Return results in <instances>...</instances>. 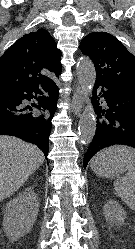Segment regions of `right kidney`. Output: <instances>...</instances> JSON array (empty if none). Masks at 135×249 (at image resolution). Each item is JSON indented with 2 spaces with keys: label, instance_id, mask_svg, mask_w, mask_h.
<instances>
[{
  "label": "right kidney",
  "instance_id": "1",
  "mask_svg": "<svg viewBox=\"0 0 135 249\" xmlns=\"http://www.w3.org/2000/svg\"><path fill=\"white\" fill-rule=\"evenodd\" d=\"M39 211V200L32 189H26L4 208L3 229L10 241H16L33 227Z\"/></svg>",
  "mask_w": 135,
  "mask_h": 249
}]
</instances>
